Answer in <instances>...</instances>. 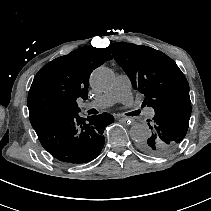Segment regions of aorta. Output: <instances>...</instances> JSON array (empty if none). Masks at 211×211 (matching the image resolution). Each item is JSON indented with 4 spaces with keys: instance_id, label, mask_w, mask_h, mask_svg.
Wrapping results in <instances>:
<instances>
[{
    "instance_id": "1",
    "label": "aorta",
    "mask_w": 211,
    "mask_h": 211,
    "mask_svg": "<svg viewBox=\"0 0 211 211\" xmlns=\"http://www.w3.org/2000/svg\"><path fill=\"white\" fill-rule=\"evenodd\" d=\"M114 82V74L107 67L95 69L90 77L91 87L98 91L107 90ZM130 137L136 142L144 141L150 136L149 129L143 124H134L129 131Z\"/></svg>"
}]
</instances>
